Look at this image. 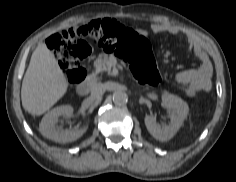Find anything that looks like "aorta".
Instances as JSON below:
<instances>
[{
  "label": "aorta",
  "instance_id": "1",
  "mask_svg": "<svg viewBox=\"0 0 236 182\" xmlns=\"http://www.w3.org/2000/svg\"><path fill=\"white\" fill-rule=\"evenodd\" d=\"M112 98H113V102L117 105H124L128 101V95L124 91H121V90L115 91L113 93Z\"/></svg>",
  "mask_w": 236,
  "mask_h": 182
}]
</instances>
